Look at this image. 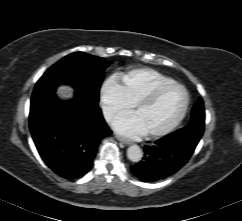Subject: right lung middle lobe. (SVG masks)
I'll list each match as a JSON object with an SVG mask.
<instances>
[{
    "mask_svg": "<svg viewBox=\"0 0 242 221\" xmlns=\"http://www.w3.org/2000/svg\"><path fill=\"white\" fill-rule=\"evenodd\" d=\"M109 63L84 52L67 55L51 66L35 85L32 99L53 94L59 84L72 85L87 102L98 104L99 89Z\"/></svg>",
    "mask_w": 242,
    "mask_h": 221,
    "instance_id": "obj_1",
    "label": "right lung middle lobe"
}]
</instances>
